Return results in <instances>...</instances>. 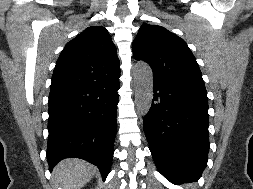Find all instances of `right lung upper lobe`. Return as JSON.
<instances>
[{"instance_id": "1", "label": "right lung upper lobe", "mask_w": 253, "mask_h": 189, "mask_svg": "<svg viewBox=\"0 0 253 189\" xmlns=\"http://www.w3.org/2000/svg\"><path fill=\"white\" fill-rule=\"evenodd\" d=\"M119 74L120 62L108 31L92 26L66 44L56 62L51 87L94 84Z\"/></svg>"}]
</instances>
